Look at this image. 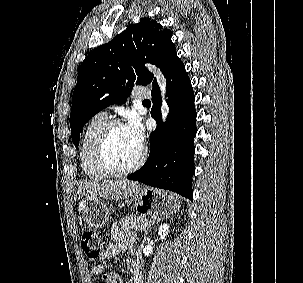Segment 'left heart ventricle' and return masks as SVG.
I'll return each instance as SVG.
<instances>
[{"label": "left heart ventricle", "instance_id": "obj_1", "mask_svg": "<svg viewBox=\"0 0 303 283\" xmlns=\"http://www.w3.org/2000/svg\"><path fill=\"white\" fill-rule=\"evenodd\" d=\"M141 148L137 146L125 126L115 128L108 141V158L111 164L118 168H126L137 159Z\"/></svg>", "mask_w": 303, "mask_h": 283}]
</instances>
